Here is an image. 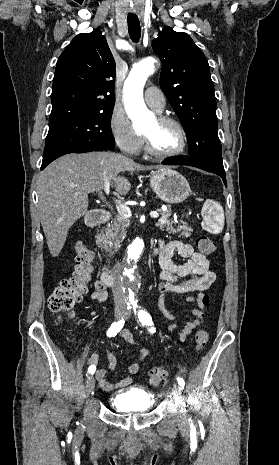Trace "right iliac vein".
I'll use <instances>...</instances> for the list:
<instances>
[{
  "label": "right iliac vein",
  "instance_id": "63e3f726",
  "mask_svg": "<svg viewBox=\"0 0 279 465\" xmlns=\"http://www.w3.org/2000/svg\"><path fill=\"white\" fill-rule=\"evenodd\" d=\"M124 314V310L122 308H116L114 316L116 319L120 318ZM95 386V378L93 375L88 376L86 381V395L88 396L94 389Z\"/></svg>",
  "mask_w": 279,
  "mask_h": 465
}]
</instances>
